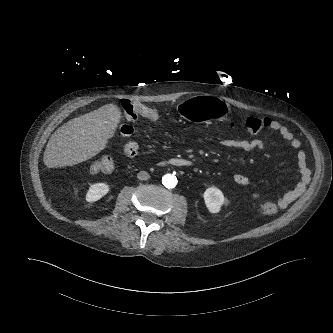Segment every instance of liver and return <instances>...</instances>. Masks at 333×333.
Segmentation results:
<instances>
[{
  "label": "liver",
  "instance_id": "1",
  "mask_svg": "<svg viewBox=\"0 0 333 333\" xmlns=\"http://www.w3.org/2000/svg\"><path fill=\"white\" fill-rule=\"evenodd\" d=\"M120 119L119 107L106 104L68 121L51 135L44 151V164L48 168H61L94 157L113 137Z\"/></svg>",
  "mask_w": 333,
  "mask_h": 333
}]
</instances>
